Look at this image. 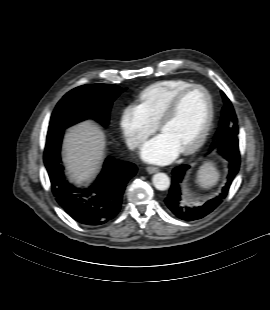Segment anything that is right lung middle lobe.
<instances>
[{
  "label": "right lung middle lobe",
  "mask_w": 270,
  "mask_h": 310,
  "mask_svg": "<svg viewBox=\"0 0 270 310\" xmlns=\"http://www.w3.org/2000/svg\"><path fill=\"white\" fill-rule=\"evenodd\" d=\"M124 89L112 84H88L68 92L56 105L49 129H62L85 119L106 126L113 101Z\"/></svg>",
  "instance_id": "1"
}]
</instances>
